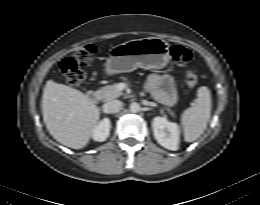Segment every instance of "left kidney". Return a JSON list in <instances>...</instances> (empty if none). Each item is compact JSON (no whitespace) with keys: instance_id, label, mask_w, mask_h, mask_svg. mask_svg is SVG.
Here are the masks:
<instances>
[{"instance_id":"left-kidney-1","label":"left kidney","mask_w":260,"mask_h":205,"mask_svg":"<svg viewBox=\"0 0 260 205\" xmlns=\"http://www.w3.org/2000/svg\"><path fill=\"white\" fill-rule=\"evenodd\" d=\"M154 137L164 148L172 151L178 150L179 126L164 117H155L152 121Z\"/></svg>"}]
</instances>
